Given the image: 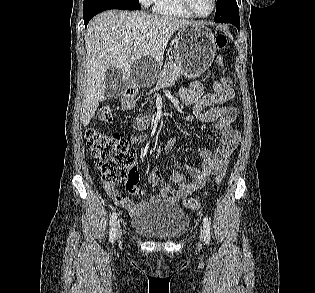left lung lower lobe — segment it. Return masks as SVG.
<instances>
[{
  "label": "left lung lower lobe",
  "instance_id": "1",
  "mask_svg": "<svg viewBox=\"0 0 315 293\" xmlns=\"http://www.w3.org/2000/svg\"><path fill=\"white\" fill-rule=\"evenodd\" d=\"M235 26H236V27L238 28V30H239V22L236 23Z\"/></svg>",
  "mask_w": 315,
  "mask_h": 293
}]
</instances>
